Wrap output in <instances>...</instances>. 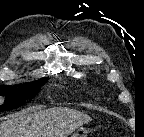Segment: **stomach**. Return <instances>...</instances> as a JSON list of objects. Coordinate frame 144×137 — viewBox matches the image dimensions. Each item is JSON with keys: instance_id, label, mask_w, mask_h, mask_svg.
<instances>
[{"instance_id": "stomach-1", "label": "stomach", "mask_w": 144, "mask_h": 137, "mask_svg": "<svg viewBox=\"0 0 144 137\" xmlns=\"http://www.w3.org/2000/svg\"><path fill=\"white\" fill-rule=\"evenodd\" d=\"M88 133L89 130L87 128L80 127L71 135V137H87Z\"/></svg>"}]
</instances>
